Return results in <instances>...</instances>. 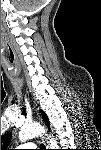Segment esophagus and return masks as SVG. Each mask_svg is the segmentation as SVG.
Masks as SVG:
<instances>
[{
  "instance_id": "esophagus-1",
  "label": "esophagus",
  "mask_w": 101,
  "mask_h": 150,
  "mask_svg": "<svg viewBox=\"0 0 101 150\" xmlns=\"http://www.w3.org/2000/svg\"><path fill=\"white\" fill-rule=\"evenodd\" d=\"M42 140H43V142L45 143V145H47V144H46V138H45L44 136L42 137Z\"/></svg>"
}]
</instances>
